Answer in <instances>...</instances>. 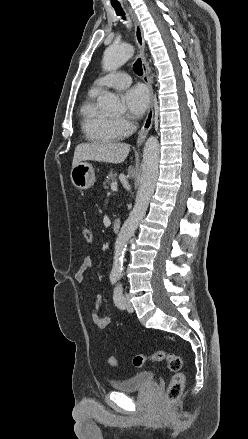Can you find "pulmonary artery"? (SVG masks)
Returning <instances> with one entry per match:
<instances>
[{"mask_svg": "<svg viewBox=\"0 0 248 439\" xmlns=\"http://www.w3.org/2000/svg\"><path fill=\"white\" fill-rule=\"evenodd\" d=\"M131 78L123 72L110 73L97 79L91 89L94 92H100L103 89L115 88L123 89L130 85Z\"/></svg>", "mask_w": 248, "mask_h": 439, "instance_id": "1", "label": "pulmonary artery"}]
</instances>
